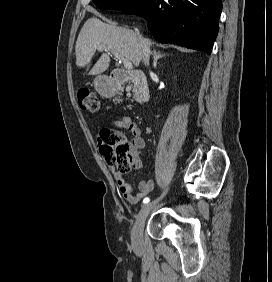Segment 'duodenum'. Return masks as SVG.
I'll use <instances>...</instances> for the list:
<instances>
[{
	"mask_svg": "<svg viewBox=\"0 0 272 282\" xmlns=\"http://www.w3.org/2000/svg\"><path fill=\"white\" fill-rule=\"evenodd\" d=\"M132 81L135 86V100L138 105H143L150 99V90L146 77L142 71H114L102 86V90L113 97L125 82Z\"/></svg>",
	"mask_w": 272,
	"mask_h": 282,
	"instance_id": "obj_1",
	"label": "duodenum"
}]
</instances>
